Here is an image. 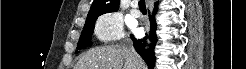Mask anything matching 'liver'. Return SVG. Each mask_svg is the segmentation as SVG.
Returning <instances> with one entry per match:
<instances>
[{
	"label": "liver",
	"mask_w": 246,
	"mask_h": 69,
	"mask_svg": "<svg viewBox=\"0 0 246 69\" xmlns=\"http://www.w3.org/2000/svg\"><path fill=\"white\" fill-rule=\"evenodd\" d=\"M139 69H146L139 57ZM75 69H134L132 52L121 45H106L90 49L77 62Z\"/></svg>",
	"instance_id": "1"
}]
</instances>
